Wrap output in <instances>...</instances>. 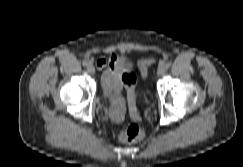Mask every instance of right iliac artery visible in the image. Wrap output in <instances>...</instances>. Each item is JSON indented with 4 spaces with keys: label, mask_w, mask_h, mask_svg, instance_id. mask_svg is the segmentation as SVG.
<instances>
[{
    "label": "right iliac artery",
    "mask_w": 243,
    "mask_h": 167,
    "mask_svg": "<svg viewBox=\"0 0 243 167\" xmlns=\"http://www.w3.org/2000/svg\"><path fill=\"white\" fill-rule=\"evenodd\" d=\"M82 64H83V66H88V62H87L86 60H84V61L82 62Z\"/></svg>",
    "instance_id": "right-iliac-artery-1"
}]
</instances>
